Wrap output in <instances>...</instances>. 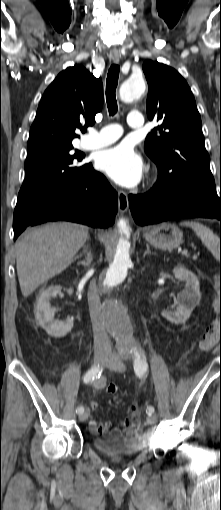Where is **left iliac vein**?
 <instances>
[{
	"label": "left iliac vein",
	"mask_w": 221,
	"mask_h": 510,
	"mask_svg": "<svg viewBox=\"0 0 221 510\" xmlns=\"http://www.w3.org/2000/svg\"><path fill=\"white\" fill-rule=\"evenodd\" d=\"M124 356L126 358L130 357L129 354H124ZM104 365L109 367L111 370H114L117 372H123L126 369L121 358L113 353L109 355V358L106 362H104ZM146 421L149 425H154L157 422V417H156V415H148L146 418Z\"/></svg>",
	"instance_id": "1"
}]
</instances>
